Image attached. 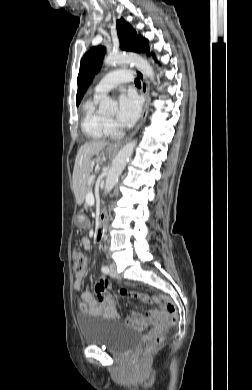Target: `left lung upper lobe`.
Masks as SVG:
<instances>
[{
	"mask_svg": "<svg viewBox=\"0 0 252 390\" xmlns=\"http://www.w3.org/2000/svg\"><path fill=\"white\" fill-rule=\"evenodd\" d=\"M116 27L120 40V48L122 50L133 51L137 53H149L148 41L142 36H138L136 31L123 18L117 20ZM104 54V47H92L81 59L80 70L78 74V91L76 95L77 105H79L81 102V99L90 85L93 76L100 69Z\"/></svg>",
	"mask_w": 252,
	"mask_h": 390,
	"instance_id": "5c2ea615",
	"label": "left lung upper lobe"
}]
</instances>
